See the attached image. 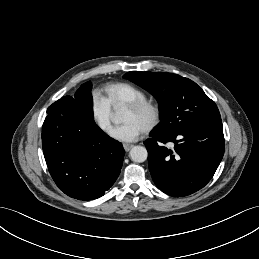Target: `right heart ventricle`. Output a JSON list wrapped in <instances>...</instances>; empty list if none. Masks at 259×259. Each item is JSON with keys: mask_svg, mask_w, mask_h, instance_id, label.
Wrapping results in <instances>:
<instances>
[{"mask_svg": "<svg viewBox=\"0 0 259 259\" xmlns=\"http://www.w3.org/2000/svg\"><path fill=\"white\" fill-rule=\"evenodd\" d=\"M102 91L105 99L114 109H118L137 100L147 99V95L143 90L126 82L106 84L102 88Z\"/></svg>", "mask_w": 259, "mask_h": 259, "instance_id": "obj_1", "label": "right heart ventricle"}]
</instances>
